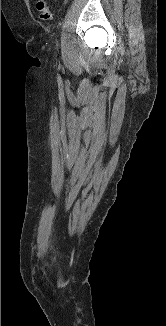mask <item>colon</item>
<instances>
[{
  "label": "colon",
  "mask_w": 166,
  "mask_h": 326,
  "mask_svg": "<svg viewBox=\"0 0 166 326\" xmlns=\"http://www.w3.org/2000/svg\"><path fill=\"white\" fill-rule=\"evenodd\" d=\"M36 9L38 11L39 18L41 20H50L52 19V10L48 6L45 0H38L36 3Z\"/></svg>",
  "instance_id": "5ec220e1"
}]
</instances>
